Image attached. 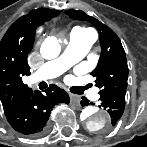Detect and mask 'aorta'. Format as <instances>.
<instances>
[{
    "label": "aorta",
    "mask_w": 147,
    "mask_h": 147,
    "mask_svg": "<svg viewBox=\"0 0 147 147\" xmlns=\"http://www.w3.org/2000/svg\"><path fill=\"white\" fill-rule=\"evenodd\" d=\"M61 46L58 40L54 37L46 38L40 48V53L45 59L57 58L60 54ZM81 120L85 123L86 127L93 132L105 130L110 125V116L103 110L97 107L87 106L80 114Z\"/></svg>",
    "instance_id": "aorta-1"
}]
</instances>
